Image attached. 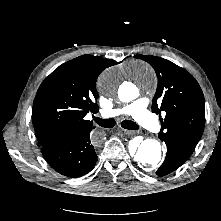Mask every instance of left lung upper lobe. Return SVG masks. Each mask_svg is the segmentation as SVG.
I'll return each instance as SVG.
<instances>
[{
  "label": "left lung upper lobe",
  "instance_id": "1",
  "mask_svg": "<svg viewBox=\"0 0 221 221\" xmlns=\"http://www.w3.org/2000/svg\"><path fill=\"white\" fill-rule=\"evenodd\" d=\"M155 70L158 86L152 102V111L161 116V140L171 139L196 147L205 125V103L202 90L185 69L166 59L136 55Z\"/></svg>",
  "mask_w": 221,
  "mask_h": 221
}]
</instances>
